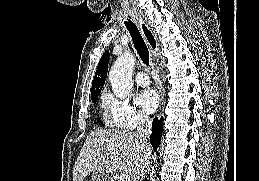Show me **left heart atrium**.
Segmentation results:
<instances>
[{
  "label": "left heart atrium",
  "mask_w": 259,
  "mask_h": 181,
  "mask_svg": "<svg viewBox=\"0 0 259 181\" xmlns=\"http://www.w3.org/2000/svg\"><path fill=\"white\" fill-rule=\"evenodd\" d=\"M160 102L159 95L156 90L147 88L139 92L136 96V103L146 114L153 113Z\"/></svg>",
  "instance_id": "39dd6f15"
}]
</instances>
